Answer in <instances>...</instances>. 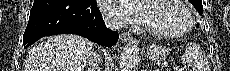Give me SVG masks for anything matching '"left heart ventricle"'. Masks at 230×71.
Instances as JSON below:
<instances>
[{
  "instance_id": "b2bd125f",
  "label": "left heart ventricle",
  "mask_w": 230,
  "mask_h": 71,
  "mask_svg": "<svg viewBox=\"0 0 230 71\" xmlns=\"http://www.w3.org/2000/svg\"><path fill=\"white\" fill-rule=\"evenodd\" d=\"M146 24L160 31H177L182 29L187 19L184 12L169 0L145 1Z\"/></svg>"
}]
</instances>
